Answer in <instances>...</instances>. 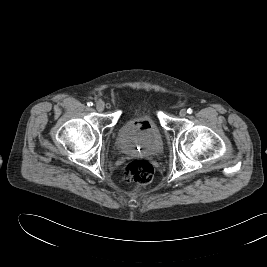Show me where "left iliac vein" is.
<instances>
[{"label": "left iliac vein", "mask_w": 267, "mask_h": 267, "mask_svg": "<svg viewBox=\"0 0 267 267\" xmlns=\"http://www.w3.org/2000/svg\"><path fill=\"white\" fill-rule=\"evenodd\" d=\"M186 114H187L186 109H181L180 112H179V115H180L181 117H185Z\"/></svg>", "instance_id": "4c4485c4"}]
</instances>
